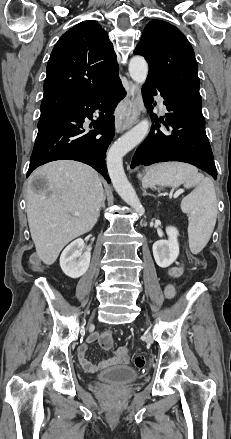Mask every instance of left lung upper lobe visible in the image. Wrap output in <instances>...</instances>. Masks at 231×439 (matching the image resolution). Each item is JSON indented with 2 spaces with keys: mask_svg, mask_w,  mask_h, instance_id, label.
Instances as JSON below:
<instances>
[{
  "mask_svg": "<svg viewBox=\"0 0 231 439\" xmlns=\"http://www.w3.org/2000/svg\"><path fill=\"white\" fill-rule=\"evenodd\" d=\"M134 54L147 60L148 77L159 81L191 108L202 113L195 54L178 28L165 21H150Z\"/></svg>",
  "mask_w": 231,
  "mask_h": 439,
  "instance_id": "obj_1",
  "label": "left lung upper lobe"
}]
</instances>
